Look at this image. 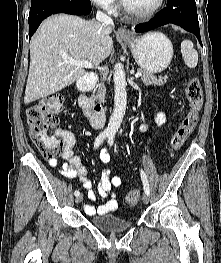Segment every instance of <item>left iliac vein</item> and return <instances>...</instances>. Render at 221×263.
Wrapping results in <instances>:
<instances>
[{
	"label": "left iliac vein",
	"mask_w": 221,
	"mask_h": 263,
	"mask_svg": "<svg viewBox=\"0 0 221 263\" xmlns=\"http://www.w3.org/2000/svg\"><path fill=\"white\" fill-rule=\"evenodd\" d=\"M142 200L145 204H147L149 202V196L145 193L142 197Z\"/></svg>",
	"instance_id": "1"
}]
</instances>
